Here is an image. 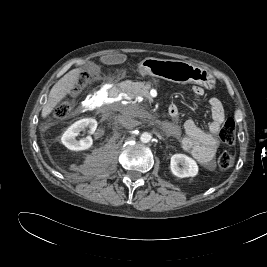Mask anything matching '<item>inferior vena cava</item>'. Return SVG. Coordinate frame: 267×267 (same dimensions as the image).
Returning <instances> with one entry per match:
<instances>
[{
    "instance_id": "inferior-vena-cava-1",
    "label": "inferior vena cava",
    "mask_w": 267,
    "mask_h": 267,
    "mask_svg": "<svg viewBox=\"0 0 267 267\" xmlns=\"http://www.w3.org/2000/svg\"><path fill=\"white\" fill-rule=\"evenodd\" d=\"M118 120L121 126L128 129H131L139 124V122L133 118V115L129 110H124Z\"/></svg>"
}]
</instances>
